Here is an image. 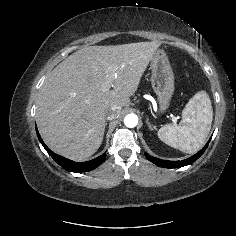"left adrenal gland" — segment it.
Returning <instances> with one entry per match:
<instances>
[{"label": "left adrenal gland", "instance_id": "obj_1", "mask_svg": "<svg viewBox=\"0 0 236 236\" xmlns=\"http://www.w3.org/2000/svg\"><path fill=\"white\" fill-rule=\"evenodd\" d=\"M146 123H147V125H148V128L150 129V130H153L155 127H152V125L150 124V122H149V119L147 118V120H146Z\"/></svg>", "mask_w": 236, "mask_h": 236}]
</instances>
